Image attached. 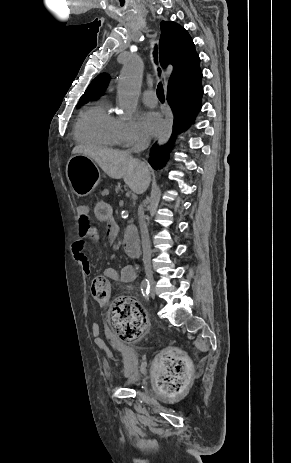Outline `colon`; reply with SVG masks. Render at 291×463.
Instances as JSON below:
<instances>
[{"label":"colon","mask_w":291,"mask_h":463,"mask_svg":"<svg viewBox=\"0 0 291 463\" xmlns=\"http://www.w3.org/2000/svg\"><path fill=\"white\" fill-rule=\"evenodd\" d=\"M94 213L99 220L112 216V207L104 201H97ZM92 298L98 304H107L111 298L110 281L95 277L91 283ZM112 331L121 339L134 341L142 338L147 331V317L138 301L128 297L115 298L109 309ZM155 372L158 388L168 396L183 391L190 375L188 359L177 350H169L158 359Z\"/></svg>","instance_id":"5ec220e1"}]
</instances>
